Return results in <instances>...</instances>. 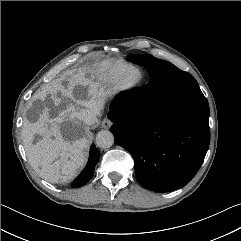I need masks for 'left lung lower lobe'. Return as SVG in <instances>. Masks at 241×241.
<instances>
[{"instance_id":"1","label":"left lung lower lobe","mask_w":241,"mask_h":241,"mask_svg":"<svg viewBox=\"0 0 241 241\" xmlns=\"http://www.w3.org/2000/svg\"><path fill=\"white\" fill-rule=\"evenodd\" d=\"M169 88L163 75L152 74L146 86L119 93L108 113L116 144L134 158L136 178L155 192L190 182L210 143L209 105L200 88L178 97Z\"/></svg>"}]
</instances>
